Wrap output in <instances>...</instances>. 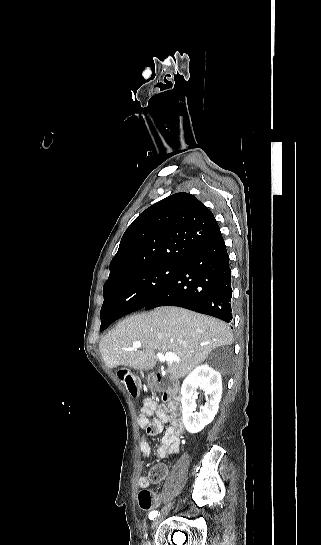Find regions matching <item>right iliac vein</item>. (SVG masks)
I'll list each match as a JSON object with an SVG mask.
<instances>
[{"label":"right iliac vein","mask_w":321,"mask_h":545,"mask_svg":"<svg viewBox=\"0 0 321 545\" xmlns=\"http://www.w3.org/2000/svg\"><path fill=\"white\" fill-rule=\"evenodd\" d=\"M174 501H170L161 511V513L158 515V517L154 520L153 524H152V528L155 529L161 522L162 520L166 517V515L168 514L169 510L171 509L172 505H173Z\"/></svg>","instance_id":"obj_1"}]
</instances>
